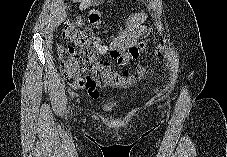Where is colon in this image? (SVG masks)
<instances>
[{"instance_id": "obj_1", "label": "colon", "mask_w": 227, "mask_h": 157, "mask_svg": "<svg viewBox=\"0 0 227 157\" xmlns=\"http://www.w3.org/2000/svg\"><path fill=\"white\" fill-rule=\"evenodd\" d=\"M62 35L68 42L80 49L78 53L73 47L57 46L61 72L69 85L77 87L83 81L80 76L81 72L87 74L84 80L92 85L125 87L131 82L130 75L119 74L113 71L108 63L99 60L100 38L91 30L78 29L73 23L66 21L63 25ZM157 52H160V48L157 49ZM142 71L143 68H140L139 72Z\"/></svg>"}]
</instances>
